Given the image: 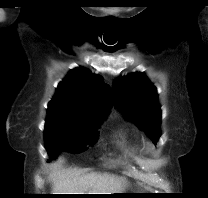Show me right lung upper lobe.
I'll list each match as a JSON object with an SVG mask.
<instances>
[{
    "label": "right lung upper lobe",
    "instance_id": "1",
    "mask_svg": "<svg viewBox=\"0 0 208 198\" xmlns=\"http://www.w3.org/2000/svg\"><path fill=\"white\" fill-rule=\"evenodd\" d=\"M112 103L113 93L103 78L79 67L59 83L47 112L104 119Z\"/></svg>",
    "mask_w": 208,
    "mask_h": 198
}]
</instances>
